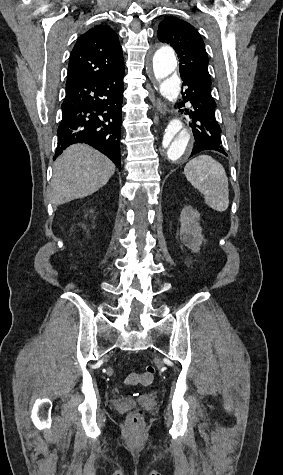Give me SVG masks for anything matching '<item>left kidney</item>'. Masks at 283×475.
I'll return each mask as SVG.
<instances>
[{"label": "left kidney", "mask_w": 283, "mask_h": 475, "mask_svg": "<svg viewBox=\"0 0 283 475\" xmlns=\"http://www.w3.org/2000/svg\"><path fill=\"white\" fill-rule=\"evenodd\" d=\"M200 214L192 206H184L181 216L180 239L192 251H199L203 241Z\"/></svg>", "instance_id": "left-kidney-1"}]
</instances>
